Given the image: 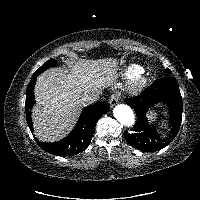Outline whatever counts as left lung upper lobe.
I'll use <instances>...</instances> for the list:
<instances>
[{
	"mask_svg": "<svg viewBox=\"0 0 200 200\" xmlns=\"http://www.w3.org/2000/svg\"><path fill=\"white\" fill-rule=\"evenodd\" d=\"M167 71L171 72L170 69H167Z\"/></svg>",
	"mask_w": 200,
	"mask_h": 200,
	"instance_id": "1",
	"label": "left lung upper lobe"
}]
</instances>
